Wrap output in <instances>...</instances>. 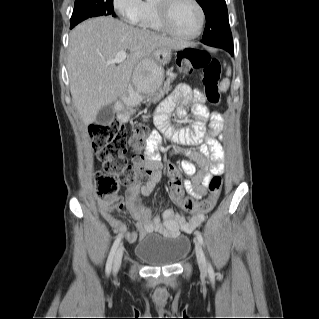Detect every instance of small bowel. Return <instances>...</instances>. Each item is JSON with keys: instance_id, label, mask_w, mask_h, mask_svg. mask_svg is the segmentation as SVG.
<instances>
[{"instance_id": "c3829d8e", "label": "small bowel", "mask_w": 319, "mask_h": 319, "mask_svg": "<svg viewBox=\"0 0 319 319\" xmlns=\"http://www.w3.org/2000/svg\"><path fill=\"white\" fill-rule=\"evenodd\" d=\"M177 104L179 105L176 107ZM188 105H191L194 117L190 127L175 130L169 123L170 114L176 109L177 116L183 119L187 116L186 106ZM207 121H209L208 126L206 125ZM223 122L224 118L221 113L209 111L205 105L203 92L198 88L192 89L187 83L179 84L158 106L156 124L169 141L179 145H200L196 152H184L200 166L199 172L190 161H182L180 164L182 171L192 177L191 181L185 182V190L196 199L202 198L206 193L209 181L213 176L224 173L223 148L216 138V135L223 129ZM149 143L158 146L154 148L152 145H148L146 148L151 172L144 183L128 186L124 198L125 204L140 230L139 237L143 238L152 231L167 236L177 235L180 231L192 232L204 222L205 215L203 213L195 211L186 216L175 208H167L161 214H153L147 206L139 201L141 195L147 196L152 193L163 169L156 153L162 147L157 131L151 133ZM167 171L169 174H175L177 167L173 163H169ZM109 199L103 200L101 203L105 219L116 230L124 234L128 241H135L137 233L130 230L123 220L105 211V205Z\"/></svg>"}]
</instances>
